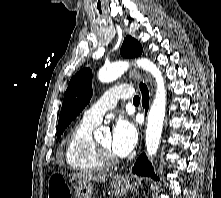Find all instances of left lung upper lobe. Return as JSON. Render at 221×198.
<instances>
[{
    "mask_svg": "<svg viewBox=\"0 0 221 198\" xmlns=\"http://www.w3.org/2000/svg\"><path fill=\"white\" fill-rule=\"evenodd\" d=\"M141 44L132 37H126L120 49L123 57H135L142 53ZM92 96V71L83 69L69 82L65 92L63 105L57 127V138H60L70 122L80 114Z\"/></svg>",
    "mask_w": 221,
    "mask_h": 198,
    "instance_id": "1",
    "label": "left lung upper lobe"
}]
</instances>
